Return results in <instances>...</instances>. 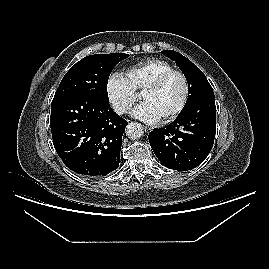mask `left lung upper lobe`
Listing matches in <instances>:
<instances>
[{"label":"left lung upper lobe","mask_w":269,"mask_h":269,"mask_svg":"<svg viewBox=\"0 0 269 269\" xmlns=\"http://www.w3.org/2000/svg\"><path fill=\"white\" fill-rule=\"evenodd\" d=\"M162 52L176 62V64L179 66V68L181 69V71L183 72V74L187 79L188 99L182 111L185 110L187 107H189L193 102H195L200 97L214 93L206 76L189 59H187L180 53L172 50H165Z\"/></svg>","instance_id":"left-lung-upper-lobe-1"}]
</instances>
